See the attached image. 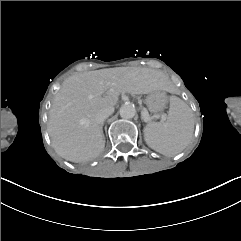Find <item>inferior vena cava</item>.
<instances>
[{
	"instance_id": "obj_1",
	"label": "inferior vena cava",
	"mask_w": 241,
	"mask_h": 241,
	"mask_svg": "<svg viewBox=\"0 0 241 241\" xmlns=\"http://www.w3.org/2000/svg\"><path fill=\"white\" fill-rule=\"evenodd\" d=\"M113 112H114V107L103 109L96 115L95 117L96 123L102 124L105 121V119H107Z\"/></svg>"
}]
</instances>
